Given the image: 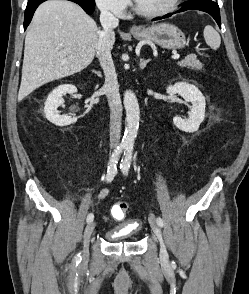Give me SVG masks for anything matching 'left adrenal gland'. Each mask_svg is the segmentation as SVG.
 Wrapping results in <instances>:
<instances>
[{
  "label": "left adrenal gland",
  "mask_w": 249,
  "mask_h": 294,
  "mask_svg": "<svg viewBox=\"0 0 249 294\" xmlns=\"http://www.w3.org/2000/svg\"><path fill=\"white\" fill-rule=\"evenodd\" d=\"M150 61V59L144 60L143 58L140 59V69H144L147 65V63Z\"/></svg>",
  "instance_id": "1"
}]
</instances>
